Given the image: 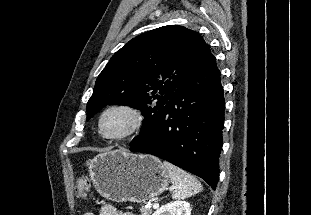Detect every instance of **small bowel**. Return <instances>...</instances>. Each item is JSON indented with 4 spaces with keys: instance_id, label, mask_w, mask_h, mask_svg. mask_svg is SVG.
<instances>
[{
    "instance_id": "small-bowel-1",
    "label": "small bowel",
    "mask_w": 311,
    "mask_h": 215,
    "mask_svg": "<svg viewBox=\"0 0 311 215\" xmlns=\"http://www.w3.org/2000/svg\"><path fill=\"white\" fill-rule=\"evenodd\" d=\"M83 215H95L91 212L84 213ZM99 215H134L132 212H122L111 204H105L101 207Z\"/></svg>"
}]
</instances>
